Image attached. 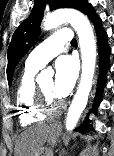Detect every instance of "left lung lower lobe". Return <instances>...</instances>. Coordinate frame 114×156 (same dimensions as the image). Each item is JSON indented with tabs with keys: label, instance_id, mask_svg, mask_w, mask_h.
Listing matches in <instances>:
<instances>
[{
	"label": "left lung lower lobe",
	"instance_id": "obj_1",
	"mask_svg": "<svg viewBox=\"0 0 114 156\" xmlns=\"http://www.w3.org/2000/svg\"><path fill=\"white\" fill-rule=\"evenodd\" d=\"M86 14L95 26V30L97 33L98 51H99L100 73H99V78H98V88H97V93H96V97H95V105L93 106V108L91 110V112L96 114L97 106L99 105V103L101 101L102 91L106 84L105 75L110 67L109 56L111 53V49L108 45L107 34L103 30L101 19L96 15L94 8H92V6H91ZM88 122H89V119L87 116L84 124L81 125L77 130L82 133L87 132L88 127H89ZM91 130H93V129L91 128Z\"/></svg>",
	"mask_w": 114,
	"mask_h": 156
}]
</instances>
